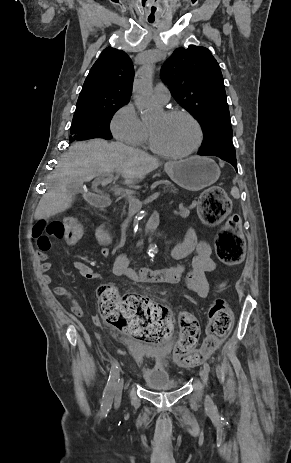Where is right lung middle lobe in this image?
Here are the masks:
<instances>
[{
	"instance_id": "right-lung-middle-lobe-1",
	"label": "right lung middle lobe",
	"mask_w": 291,
	"mask_h": 463,
	"mask_svg": "<svg viewBox=\"0 0 291 463\" xmlns=\"http://www.w3.org/2000/svg\"><path fill=\"white\" fill-rule=\"evenodd\" d=\"M126 102L107 101L99 109L75 115L71 125L70 141L93 138L111 139L110 121Z\"/></svg>"
}]
</instances>
